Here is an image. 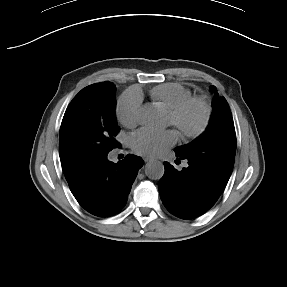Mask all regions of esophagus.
<instances>
[{"label":"esophagus","instance_id":"34e87169","mask_svg":"<svg viewBox=\"0 0 287 287\" xmlns=\"http://www.w3.org/2000/svg\"><path fill=\"white\" fill-rule=\"evenodd\" d=\"M144 161H145V162H149V161H151V159L148 158V157H145V158H144Z\"/></svg>","mask_w":287,"mask_h":287}]
</instances>
